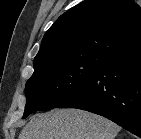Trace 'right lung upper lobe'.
Listing matches in <instances>:
<instances>
[{
	"instance_id": "right-lung-upper-lobe-1",
	"label": "right lung upper lobe",
	"mask_w": 141,
	"mask_h": 139,
	"mask_svg": "<svg viewBox=\"0 0 141 139\" xmlns=\"http://www.w3.org/2000/svg\"><path fill=\"white\" fill-rule=\"evenodd\" d=\"M141 45V7L132 0H85L45 33L34 68L82 57L107 60Z\"/></svg>"
}]
</instances>
